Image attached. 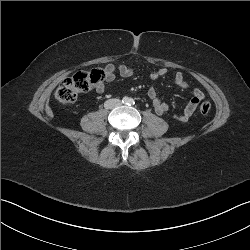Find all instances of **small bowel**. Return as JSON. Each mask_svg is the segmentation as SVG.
<instances>
[{
    "mask_svg": "<svg viewBox=\"0 0 250 250\" xmlns=\"http://www.w3.org/2000/svg\"><path fill=\"white\" fill-rule=\"evenodd\" d=\"M167 72L168 70L166 68H160L150 74V80L155 81L166 75ZM103 73L104 80L95 86V91L99 94L105 92L106 83L114 81L116 74H119L121 77L128 78L134 74V69L125 64L114 65L109 63L105 65ZM171 84L183 90H190L192 93V98L183 109L182 113L173 116L174 120L185 123L192 117L198 105L204 99V93L199 88L191 86L190 83L185 80L181 72L175 73L173 79L171 80ZM147 94L156 114L162 115L169 110V105L163 101L153 86L149 87Z\"/></svg>",
    "mask_w": 250,
    "mask_h": 250,
    "instance_id": "c3829d8e",
    "label": "small bowel"
}]
</instances>
